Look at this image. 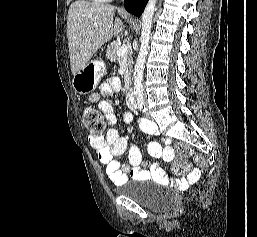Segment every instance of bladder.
<instances>
[{"label": "bladder", "instance_id": "bladder-1", "mask_svg": "<svg viewBox=\"0 0 257 237\" xmlns=\"http://www.w3.org/2000/svg\"><path fill=\"white\" fill-rule=\"evenodd\" d=\"M139 183H149V181L136 180L125 182L121 187H118L119 194L151 209L162 207L172 199L165 189L155 191L142 187Z\"/></svg>", "mask_w": 257, "mask_h": 237}]
</instances>
